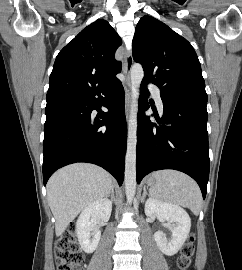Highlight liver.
<instances>
[{
    "instance_id": "6515ba94",
    "label": "liver",
    "mask_w": 242,
    "mask_h": 270,
    "mask_svg": "<svg viewBox=\"0 0 242 270\" xmlns=\"http://www.w3.org/2000/svg\"><path fill=\"white\" fill-rule=\"evenodd\" d=\"M112 188L111 175L93 164L76 163L54 173L47 183V198L56 220V236H61L84 208L107 197Z\"/></svg>"
}]
</instances>
